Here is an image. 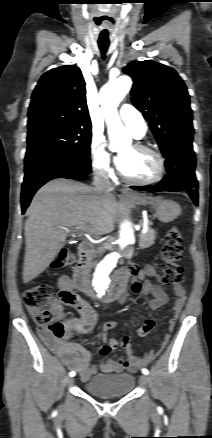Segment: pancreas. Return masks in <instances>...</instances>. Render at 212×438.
<instances>
[{
  "label": "pancreas",
  "instance_id": "obj_1",
  "mask_svg": "<svg viewBox=\"0 0 212 438\" xmlns=\"http://www.w3.org/2000/svg\"><path fill=\"white\" fill-rule=\"evenodd\" d=\"M151 225H152V223L149 222V226H151ZM155 238H156L155 231L149 227L148 231L146 233H140L139 247L141 249H146V248L150 247L151 245L154 244Z\"/></svg>",
  "mask_w": 212,
  "mask_h": 438
}]
</instances>
